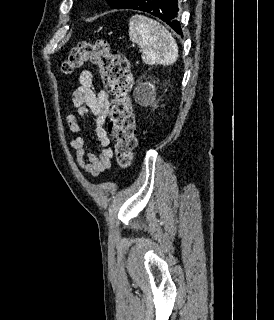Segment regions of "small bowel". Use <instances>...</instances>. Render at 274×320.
<instances>
[{
  "instance_id": "1",
  "label": "small bowel",
  "mask_w": 274,
  "mask_h": 320,
  "mask_svg": "<svg viewBox=\"0 0 274 320\" xmlns=\"http://www.w3.org/2000/svg\"><path fill=\"white\" fill-rule=\"evenodd\" d=\"M72 103L80 115H86L91 111L96 117V136L101 147L98 154L85 153V137L77 117L73 113L67 112L65 120L70 131L77 134L70 141L76 164L89 175L97 176L110 167L114 151L110 146V137L104 127L109 115V95L104 90L96 88L94 73L91 70L81 71L79 86L72 94Z\"/></svg>"
}]
</instances>
